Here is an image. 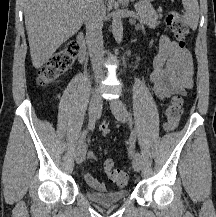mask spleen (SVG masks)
Returning a JSON list of instances; mask_svg holds the SVG:
<instances>
[{"instance_id": "3e777b00", "label": "spleen", "mask_w": 216, "mask_h": 217, "mask_svg": "<svg viewBox=\"0 0 216 217\" xmlns=\"http://www.w3.org/2000/svg\"><path fill=\"white\" fill-rule=\"evenodd\" d=\"M186 14L183 16L187 25L193 30L197 29L199 21V4L197 0H182Z\"/></svg>"}]
</instances>
